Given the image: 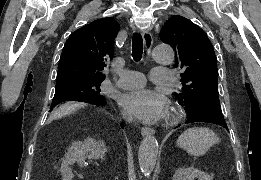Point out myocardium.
I'll list each match as a JSON object with an SVG mask.
<instances>
[{"instance_id": "myocardium-1", "label": "myocardium", "mask_w": 261, "mask_h": 180, "mask_svg": "<svg viewBox=\"0 0 261 180\" xmlns=\"http://www.w3.org/2000/svg\"><path fill=\"white\" fill-rule=\"evenodd\" d=\"M175 117V113L174 111L169 108L167 111H165V113L163 114V121L164 124L169 125L172 123L173 119Z\"/></svg>"}]
</instances>
